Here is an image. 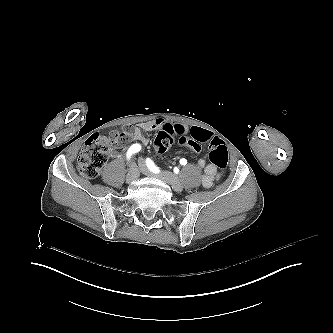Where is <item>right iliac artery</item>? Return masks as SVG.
<instances>
[{"mask_svg": "<svg viewBox=\"0 0 333 333\" xmlns=\"http://www.w3.org/2000/svg\"><path fill=\"white\" fill-rule=\"evenodd\" d=\"M141 146L139 144H133L129 150L127 151V159H130V157L132 156V154L140 151Z\"/></svg>", "mask_w": 333, "mask_h": 333, "instance_id": "right-iliac-artery-1", "label": "right iliac artery"}]
</instances>
